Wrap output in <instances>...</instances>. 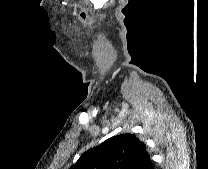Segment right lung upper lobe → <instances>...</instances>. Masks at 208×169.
Masks as SVG:
<instances>
[{
	"label": "right lung upper lobe",
	"instance_id": "cb5924a9",
	"mask_svg": "<svg viewBox=\"0 0 208 169\" xmlns=\"http://www.w3.org/2000/svg\"><path fill=\"white\" fill-rule=\"evenodd\" d=\"M151 164L145 144L126 133L87 150L69 169H148Z\"/></svg>",
	"mask_w": 208,
	"mask_h": 169
}]
</instances>
